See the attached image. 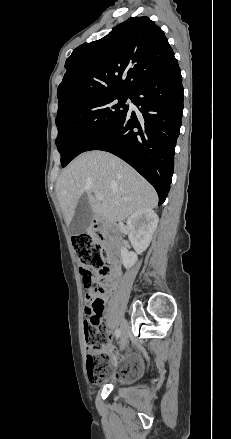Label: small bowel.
<instances>
[{
    "instance_id": "1",
    "label": "small bowel",
    "mask_w": 231,
    "mask_h": 439,
    "mask_svg": "<svg viewBox=\"0 0 231 439\" xmlns=\"http://www.w3.org/2000/svg\"><path fill=\"white\" fill-rule=\"evenodd\" d=\"M113 274L115 276H117L119 274L118 267L113 268ZM94 280H97V279L94 278ZM85 300H86V307H85L84 313L86 316V320L84 321V328L93 318H96L98 324L102 325V320H103V316H104V308L100 314H97L93 310L91 304L93 301L99 300L103 303V306H105L106 295H105L104 291H99V290L88 291L86 293ZM109 349H110V343L106 346H103L101 349H95L92 352H94V353L105 352V351H108Z\"/></svg>"
}]
</instances>
